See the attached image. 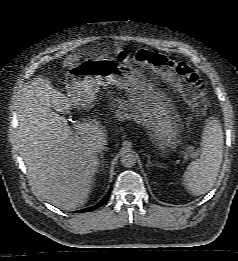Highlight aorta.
I'll list each match as a JSON object with an SVG mask.
<instances>
[{
  "label": "aorta",
  "instance_id": "obj_1",
  "mask_svg": "<svg viewBox=\"0 0 238 261\" xmlns=\"http://www.w3.org/2000/svg\"><path fill=\"white\" fill-rule=\"evenodd\" d=\"M120 162H121L122 166H124L126 168H131L136 163V157L131 152H125L121 155Z\"/></svg>",
  "mask_w": 238,
  "mask_h": 261
}]
</instances>
